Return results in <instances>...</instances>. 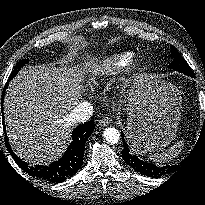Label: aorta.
<instances>
[{
	"label": "aorta",
	"instance_id": "762f6f07",
	"mask_svg": "<svg viewBox=\"0 0 205 205\" xmlns=\"http://www.w3.org/2000/svg\"><path fill=\"white\" fill-rule=\"evenodd\" d=\"M103 135L105 140L111 144H116L119 142L120 132L113 127L106 128Z\"/></svg>",
	"mask_w": 205,
	"mask_h": 205
}]
</instances>
